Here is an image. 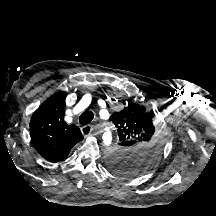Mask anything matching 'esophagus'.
Masks as SVG:
<instances>
[{
    "label": "esophagus",
    "mask_w": 216,
    "mask_h": 216,
    "mask_svg": "<svg viewBox=\"0 0 216 216\" xmlns=\"http://www.w3.org/2000/svg\"><path fill=\"white\" fill-rule=\"evenodd\" d=\"M93 131H94L93 125H86L81 128V132L85 137L91 136L93 134Z\"/></svg>",
    "instance_id": "1"
}]
</instances>
